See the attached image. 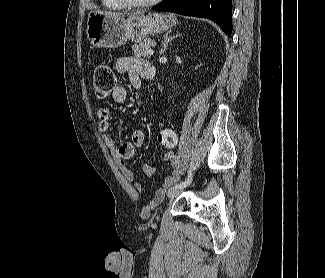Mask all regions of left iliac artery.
Returning <instances> with one entry per match:
<instances>
[{"mask_svg": "<svg viewBox=\"0 0 325 278\" xmlns=\"http://www.w3.org/2000/svg\"><path fill=\"white\" fill-rule=\"evenodd\" d=\"M191 180H192V173L190 170L188 173V178L185 181H182V182L176 184L175 187H186L187 185L190 184Z\"/></svg>", "mask_w": 325, "mask_h": 278, "instance_id": "left-iliac-artery-1", "label": "left iliac artery"}]
</instances>
